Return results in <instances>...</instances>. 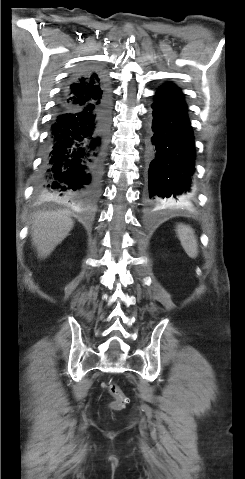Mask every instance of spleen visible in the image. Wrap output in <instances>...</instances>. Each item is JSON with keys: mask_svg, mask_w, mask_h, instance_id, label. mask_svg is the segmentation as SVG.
<instances>
[{"mask_svg": "<svg viewBox=\"0 0 245 479\" xmlns=\"http://www.w3.org/2000/svg\"><path fill=\"white\" fill-rule=\"evenodd\" d=\"M177 234L181 245L190 258H196L198 255V244L193 230L184 224L177 226Z\"/></svg>", "mask_w": 245, "mask_h": 479, "instance_id": "3e777b00", "label": "spleen"}]
</instances>
